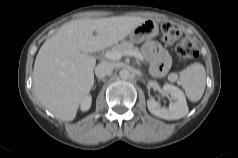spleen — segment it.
<instances>
[{"label": "spleen", "instance_id": "1", "mask_svg": "<svg viewBox=\"0 0 238 158\" xmlns=\"http://www.w3.org/2000/svg\"><path fill=\"white\" fill-rule=\"evenodd\" d=\"M180 83L192 102L199 101L206 85V72L201 63L194 62L180 72Z\"/></svg>", "mask_w": 238, "mask_h": 158}]
</instances>
